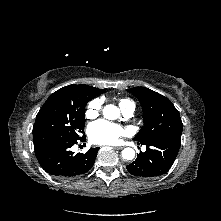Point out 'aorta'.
Segmentation results:
<instances>
[{
  "instance_id": "aorta-1",
  "label": "aorta",
  "mask_w": 221,
  "mask_h": 221,
  "mask_svg": "<svg viewBox=\"0 0 221 221\" xmlns=\"http://www.w3.org/2000/svg\"><path fill=\"white\" fill-rule=\"evenodd\" d=\"M111 112H114L115 114H117L118 113V109H117V107L116 106H114V105H106L105 107H104V109H103V115H104V117H106V118H110V113ZM122 157L124 158V159H126V160H132V159H134V157H135V151H134V149H132V148H125L123 151H122Z\"/></svg>"
}]
</instances>
